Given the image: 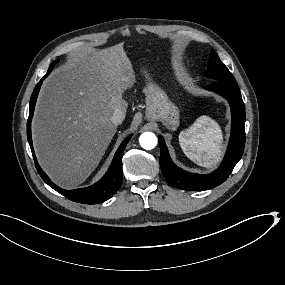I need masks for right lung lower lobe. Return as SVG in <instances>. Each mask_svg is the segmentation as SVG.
Here are the masks:
<instances>
[{
    "instance_id": "obj_1",
    "label": "right lung lower lobe",
    "mask_w": 285,
    "mask_h": 285,
    "mask_svg": "<svg viewBox=\"0 0 285 285\" xmlns=\"http://www.w3.org/2000/svg\"><path fill=\"white\" fill-rule=\"evenodd\" d=\"M50 72L51 71H48L47 74L41 79V81L34 88V91L30 99L29 118L27 121V138L30 144V148L32 151V155L35 161L37 171L39 172L40 176L45 181V183H47L51 188H53L60 194L64 195L69 200H72L78 203H84V204H97V203L104 202L108 200L110 197H112L120 188V185L122 183V176H123L122 156H123L124 149L130 140V137H127L122 142V144L120 145V147L118 148L114 156V159L107 173L102 177L101 180H99L94 185L87 187V188H81V189H75V190H64L58 187L57 185H55L39 166L34 150H33L32 137H31V120L33 117V112H34L38 92L40 90L42 80L46 78Z\"/></svg>"
}]
</instances>
